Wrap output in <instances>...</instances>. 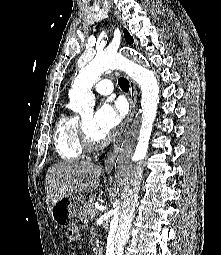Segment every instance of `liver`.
Here are the masks:
<instances>
[{
    "mask_svg": "<svg viewBox=\"0 0 221 255\" xmlns=\"http://www.w3.org/2000/svg\"><path fill=\"white\" fill-rule=\"evenodd\" d=\"M102 168L91 162L67 161L48 168L45 194L48 213L54 204L69 194L93 193L100 184Z\"/></svg>",
    "mask_w": 221,
    "mask_h": 255,
    "instance_id": "1",
    "label": "liver"
}]
</instances>
